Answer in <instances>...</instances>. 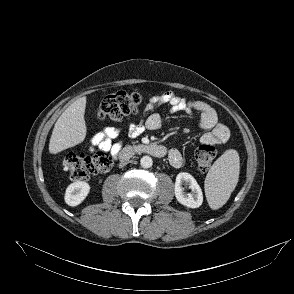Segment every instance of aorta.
Here are the masks:
<instances>
[{"label": "aorta", "instance_id": "aorta-1", "mask_svg": "<svg viewBox=\"0 0 294 294\" xmlns=\"http://www.w3.org/2000/svg\"><path fill=\"white\" fill-rule=\"evenodd\" d=\"M140 164L143 168H150L153 164L152 158L150 156H143L140 160Z\"/></svg>", "mask_w": 294, "mask_h": 294}]
</instances>
